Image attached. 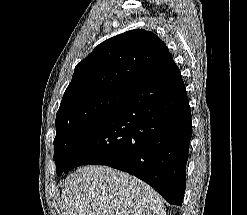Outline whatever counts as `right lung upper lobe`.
Returning <instances> with one entry per match:
<instances>
[{
  "label": "right lung upper lobe",
  "instance_id": "cb5924a9",
  "mask_svg": "<svg viewBox=\"0 0 247 215\" xmlns=\"http://www.w3.org/2000/svg\"><path fill=\"white\" fill-rule=\"evenodd\" d=\"M171 56L152 32L136 29L119 34L99 44L77 64L64 95L86 89L133 91Z\"/></svg>",
  "mask_w": 247,
  "mask_h": 215
}]
</instances>
